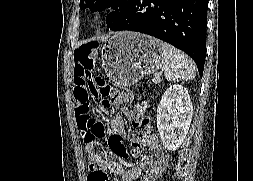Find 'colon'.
Segmentation results:
<instances>
[{"mask_svg":"<svg viewBox=\"0 0 253 181\" xmlns=\"http://www.w3.org/2000/svg\"><path fill=\"white\" fill-rule=\"evenodd\" d=\"M99 41H84L80 48L75 51L74 57L77 64L91 69L96 60H100ZM118 99V91L110 87L100 76H89L87 89L80 98L77 108V124L81 140L88 153V163L93 167L106 159V153L101 139L105 135L103 122L91 114L92 103H99L103 107H110Z\"/></svg>","mask_w":253,"mask_h":181,"instance_id":"colon-1","label":"colon"}]
</instances>
